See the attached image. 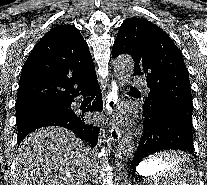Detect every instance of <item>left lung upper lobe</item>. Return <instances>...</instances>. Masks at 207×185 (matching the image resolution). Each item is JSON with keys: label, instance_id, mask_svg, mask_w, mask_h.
<instances>
[{"label": "left lung upper lobe", "instance_id": "left-lung-upper-lobe-1", "mask_svg": "<svg viewBox=\"0 0 207 185\" xmlns=\"http://www.w3.org/2000/svg\"><path fill=\"white\" fill-rule=\"evenodd\" d=\"M132 56L134 75H144L151 89L145 110L167 109L192 126V95L181 51L160 27L144 18H128L120 27L112 56Z\"/></svg>", "mask_w": 207, "mask_h": 185}]
</instances>
